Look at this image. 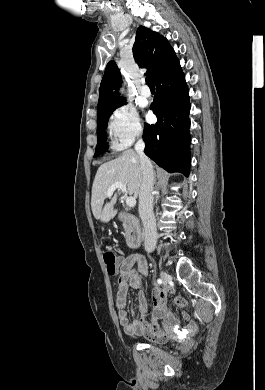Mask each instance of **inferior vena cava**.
<instances>
[{"instance_id": "602c4592", "label": "inferior vena cava", "mask_w": 265, "mask_h": 390, "mask_svg": "<svg viewBox=\"0 0 265 390\" xmlns=\"http://www.w3.org/2000/svg\"><path fill=\"white\" fill-rule=\"evenodd\" d=\"M145 143L138 139L135 150L139 155L143 179L139 191V215L144 226V246L147 252H153L157 243L156 220L153 213L154 171L149 158L144 153Z\"/></svg>"}]
</instances>
